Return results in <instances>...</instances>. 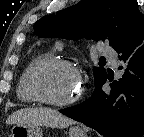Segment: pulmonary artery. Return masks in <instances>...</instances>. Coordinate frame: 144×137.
I'll return each mask as SVG.
<instances>
[{"label":"pulmonary artery","instance_id":"obj_1","mask_svg":"<svg viewBox=\"0 0 144 137\" xmlns=\"http://www.w3.org/2000/svg\"><path fill=\"white\" fill-rule=\"evenodd\" d=\"M100 49L103 55L108 57L114 66L117 65V54L114 50L109 48L107 45H104L103 43L100 44Z\"/></svg>","mask_w":144,"mask_h":137}]
</instances>
